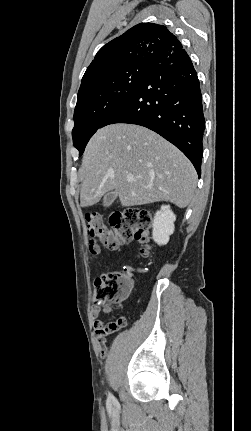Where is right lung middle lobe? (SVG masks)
<instances>
[{"label": "right lung middle lobe", "mask_w": 251, "mask_h": 431, "mask_svg": "<svg viewBox=\"0 0 251 431\" xmlns=\"http://www.w3.org/2000/svg\"><path fill=\"white\" fill-rule=\"evenodd\" d=\"M147 64H135L78 92L74 111L73 144L81 156L92 135L137 89Z\"/></svg>", "instance_id": "dd1d6c3e"}]
</instances>
